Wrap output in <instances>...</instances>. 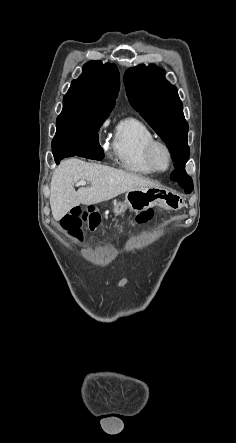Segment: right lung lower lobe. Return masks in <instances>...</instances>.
Listing matches in <instances>:
<instances>
[{
    "label": "right lung lower lobe",
    "instance_id": "right-lung-lower-lobe-1",
    "mask_svg": "<svg viewBox=\"0 0 236 443\" xmlns=\"http://www.w3.org/2000/svg\"><path fill=\"white\" fill-rule=\"evenodd\" d=\"M53 155L57 164L61 159L74 155L96 160H102L104 158V153L100 145L67 147L61 150L53 151Z\"/></svg>",
    "mask_w": 236,
    "mask_h": 443
}]
</instances>
